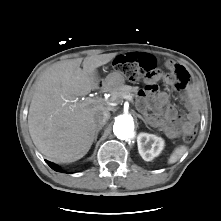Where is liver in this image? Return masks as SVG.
<instances>
[{
	"instance_id": "6515ba94",
	"label": "liver",
	"mask_w": 221,
	"mask_h": 221,
	"mask_svg": "<svg viewBox=\"0 0 221 221\" xmlns=\"http://www.w3.org/2000/svg\"><path fill=\"white\" fill-rule=\"evenodd\" d=\"M116 53L61 61L47 68L36 83L28 127L33 143L46 157L63 163L81 159L96 134L95 115L108 112L104 103L87 104L76 97L99 88L97 68Z\"/></svg>"
}]
</instances>
